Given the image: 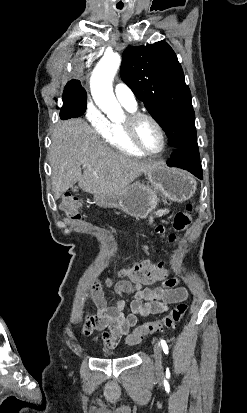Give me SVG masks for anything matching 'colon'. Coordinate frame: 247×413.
Segmentation results:
<instances>
[{
  "label": "colon",
  "mask_w": 247,
  "mask_h": 413,
  "mask_svg": "<svg viewBox=\"0 0 247 413\" xmlns=\"http://www.w3.org/2000/svg\"><path fill=\"white\" fill-rule=\"evenodd\" d=\"M61 210L65 213L67 218L78 220L81 216V201L78 198L66 196L61 202ZM193 205L188 204L186 211L180 212L174 216L173 227L177 229L178 233L183 234L186 231L187 224L192 222ZM168 242L175 240L173 233L166 235ZM114 262L116 267L113 273L116 277L121 278L124 275H133V279L140 286H147L150 281L158 280L169 271V264L166 260L161 259L157 263L144 262L142 265L138 263H129L125 255L119 254L115 257ZM188 310L187 304H179L161 319L148 320L136 327L133 332L127 337L126 343L134 345L140 343L145 336L161 331L173 329L185 317Z\"/></svg>",
  "instance_id": "5ec220e1"
}]
</instances>
